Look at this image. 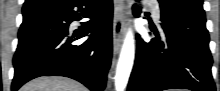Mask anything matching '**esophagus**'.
Wrapping results in <instances>:
<instances>
[{"label": "esophagus", "instance_id": "1", "mask_svg": "<svg viewBox=\"0 0 220 91\" xmlns=\"http://www.w3.org/2000/svg\"><path fill=\"white\" fill-rule=\"evenodd\" d=\"M124 10L125 0H115L113 17V46L115 53H118L123 41L125 27Z\"/></svg>", "mask_w": 220, "mask_h": 91}]
</instances>
